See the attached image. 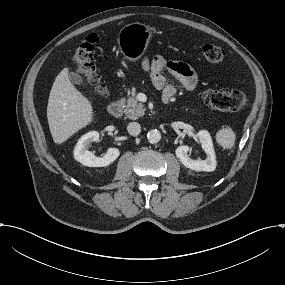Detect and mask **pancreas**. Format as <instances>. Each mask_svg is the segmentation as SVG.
I'll use <instances>...</instances> for the list:
<instances>
[{
    "label": "pancreas",
    "mask_w": 285,
    "mask_h": 285,
    "mask_svg": "<svg viewBox=\"0 0 285 285\" xmlns=\"http://www.w3.org/2000/svg\"><path fill=\"white\" fill-rule=\"evenodd\" d=\"M136 91L132 89L131 96L126 101L124 113L129 119L137 120L139 117L144 116L145 106L139 103L136 99Z\"/></svg>",
    "instance_id": "pancreas-1"
}]
</instances>
